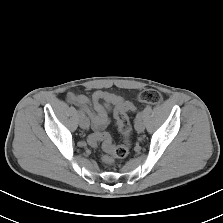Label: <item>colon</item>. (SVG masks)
Here are the masks:
<instances>
[{
	"instance_id": "1",
	"label": "colon",
	"mask_w": 223,
	"mask_h": 223,
	"mask_svg": "<svg viewBox=\"0 0 223 223\" xmlns=\"http://www.w3.org/2000/svg\"><path fill=\"white\" fill-rule=\"evenodd\" d=\"M137 100L140 103L148 105H159L162 102L161 94L152 89H145L139 92ZM135 109V105L131 102H122L115 110V119L121 136L123 144L114 145L108 133L99 132L93 134L89 141L91 145L100 147L106 154L103 155V160L106 163L113 164L116 159H122L129 153L131 145V123L127 115V111Z\"/></svg>"
}]
</instances>
